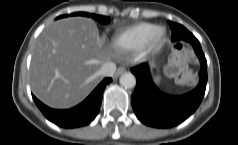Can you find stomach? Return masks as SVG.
I'll use <instances>...</instances> for the list:
<instances>
[{"instance_id": "1", "label": "stomach", "mask_w": 238, "mask_h": 145, "mask_svg": "<svg viewBox=\"0 0 238 145\" xmlns=\"http://www.w3.org/2000/svg\"><path fill=\"white\" fill-rule=\"evenodd\" d=\"M155 80H156V82H159V81H160V78H159V77H156Z\"/></svg>"}]
</instances>
